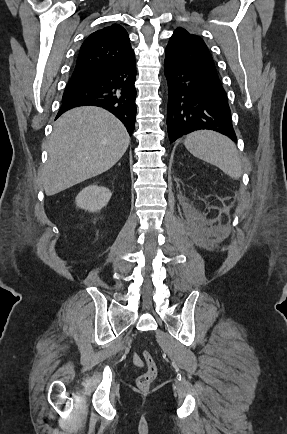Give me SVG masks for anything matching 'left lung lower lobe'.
<instances>
[{"label": "left lung lower lobe", "instance_id": "0a47b994", "mask_svg": "<svg viewBox=\"0 0 287 434\" xmlns=\"http://www.w3.org/2000/svg\"><path fill=\"white\" fill-rule=\"evenodd\" d=\"M164 70L171 143L200 129L220 132L237 142L227 96L215 69L165 55Z\"/></svg>", "mask_w": 287, "mask_h": 434}]
</instances>
